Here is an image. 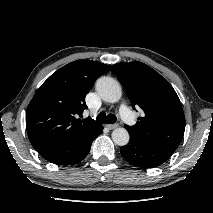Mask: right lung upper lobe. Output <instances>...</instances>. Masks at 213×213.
I'll return each instance as SVG.
<instances>
[{"mask_svg":"<svg viewBox=\"0 0 213 213\" xmlns=\"http://www.w3.org/2000/svg\"><path fill=\"white\" fill-rule=\"evenodd\" d=\"M110 70L97 61L77 60L41 85L26 112V129L35 149L70 145L99 126L92 119L77 117L87 108L85 97L96 79Z\"/></svg>","mask_w":213,"mask_h":213,"instance_id":"right-lung-upper-lobe-1","label":"right lung upper lobe"}]
</instances>
